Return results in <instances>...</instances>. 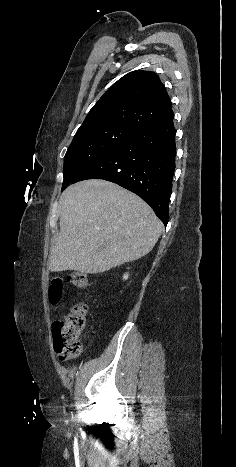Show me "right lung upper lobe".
<instances>
[{"instance_id": "1", "label": "right lung upper lobe", "mask_w": 236, "mask_h": 467, "mask_svg": "<svg viewBox=\"0 0 236 467\" xmlns=\"http://www.w3.org/2000/svg\"><path fill=\"white\" fill-rule=\"evenodd\" d=\"M172 114L169 96L158 75L137 70L123 76L103 94L77 132L104 125L139 131Z\"/></svg>"}]
</instances>
